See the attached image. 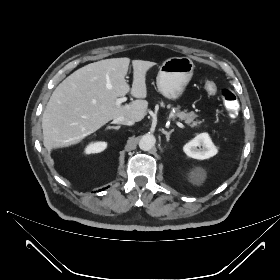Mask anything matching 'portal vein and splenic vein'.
Segmentation results:
<instances>
[{
	"label": "portal vein and splenic vein",
	"mask_w": 280,
	"mask_h": 280,
	"mask_svg": "<svg viewBox=\"0 0 280 280\" xmlns=\"http://www.w3.org/2000/svg\"><path fill=\"white\" fill-rule=\"evenodd\" d=\"M127 101L126 97L116 99V105H121L123 102ZM176 125L180 128H185L181 122H176Z\"/></svg>",
	"instance_id": "portal-vein-and-splenic-vein-1"
}]
</instances>
